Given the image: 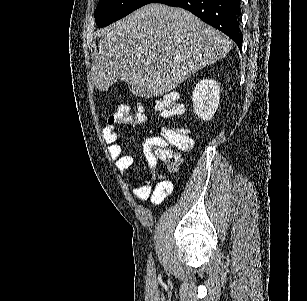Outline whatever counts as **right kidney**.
<instances>
[{"label":"right kidney","mask_w":307,"mask_h":301,"mask_svg":"<svg viewBox=\"0 0 307 301\" xmlns=\"http://www.w3.org/2000/svg\"><path fill=\"white\" fill-rule=\"evenodd\" d=\"M195 114L201 120H211L220 102V86L214 78H203L192 90Z\"/></svg>","instance_id":"ca27d5eb"}]
</instances>
